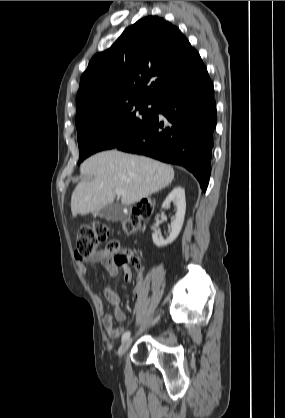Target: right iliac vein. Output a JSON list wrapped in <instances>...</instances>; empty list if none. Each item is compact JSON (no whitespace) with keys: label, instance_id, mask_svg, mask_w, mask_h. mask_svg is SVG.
I'll return each mask as SVG.
<instances>
[{"label":"right iliac vein","instance_id":"right-iliac-vein-1","mask_svg":"<svg viewBox=\"0 0 285 418\" xmlns=\"http://www.w3.org/2000/svg\"><path fill=\"white\" fill-rule=\"evenodd\" d=\"M132 344V338H128L126 339L121 346L119 347L118 350V357L119 359H121L123 357V355L126 353V351L129 349V347Z\"/></svg>","mask_w":285,"mask_h":418}]
</instances>
